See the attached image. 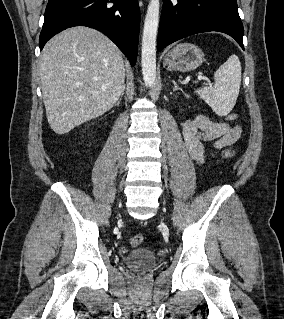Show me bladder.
<instances>
[{
    "mask_svg": "<svg viewBox=\"0 0 284 319\" xmlns=\"http://www.w3.org/2000/svg\"><path fill=\"white\" fill-rule=\"evenodd\" d=\"M156 263V255L148 249L133 250L125 257L126 266L135 272H146L155 267Z\"/></svg>",
    "mask_w": 284,
    "mask_h": 319,
    "instance_id": "31cf9c89",
    "label": "bladder"
}]
</instances>
